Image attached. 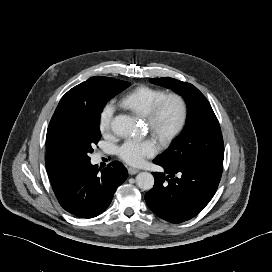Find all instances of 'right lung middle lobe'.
<instances>
[{"label":"right lung middle lobe","mask_w":272,"mask_h":272,"mask_svg":"<svg viewBox=\"0 0 272 272\" xmlns=\"http://www.w3.org/2000/svg\"><path fill=\"white\" fill-rule=\"evenodd\" d=\"M129 85V82L108 78L88 110L61 125L57 132V145L69 162L90 161L92 147L101 138L99 119L105 103Z\"/></svg>","instance_id":"right-lung-middle-lobe-1"}]
</instances>
